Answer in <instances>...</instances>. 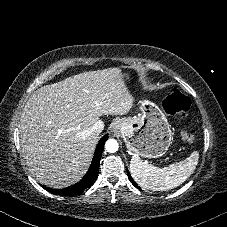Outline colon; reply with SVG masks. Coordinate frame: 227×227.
Masks as SVG:
<instances>
[{
    "mask_svg": "<svg viewBox=\"0 0 227 227\" xmlns=\"http://www.w3.org/2000/svg\"><path fill=\"white\" fill-rule=\"evenodd\" d=\"M164 106L169 114L184 117L187 114L190 102L179 90L172 89L166 95ZM181 138L187 142L194 140L193 134L185 128L181 131Z\"/></svg>",
    "mask_w": 227,
    "mask_h": 227,
    "instance_id": "colon-1",
    "label": "colon"
}]
</instances>
